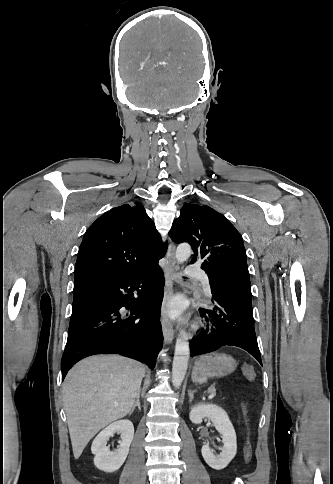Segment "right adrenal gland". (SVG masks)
Here are the masks:
<instances>
[{
    "label": "right adrenal gland",
    "mask_w": 333,
    "mask_h": 484,
    "mask_svg": "<svg viewBox=\"0 0 333 484\" xmlns=\"http://www.w3.org/2000/svg\"><path fill=\"white\" fill-rule=\"evenodd\" d=\"M140 392H141V391H139V392H138V394H137L136 401H135V403L133 404L132 409H131V411H130L129 415H131V414L133 413V411L135 410V408H136V407H138V410H139V411H141V405H140Z\"/></svg>",
    "instance_id": "2a0ac1e0"
}]
</instances>
